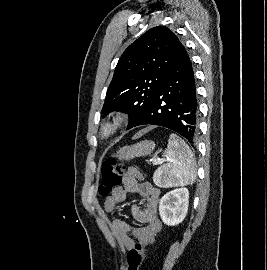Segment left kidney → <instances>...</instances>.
I'll return each instance as SVG.
<instances>
[{"mask_svg":"<svg viewBox=\"0 0 267 270\" xmlns=\"http://www.w3.org/2000/svg\"><path fill=\"white\" fill-rule=\"evenodd\" d=\"M189 204V191L185 187L174 189L166 193L159 203V214L168 226L181 223L187 214Z\"/></svg>","mask_w":267,"mask_h":270,"instance_id":"obj_1","label":"left kidney"}]
</instances>
